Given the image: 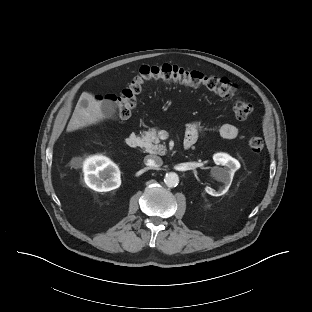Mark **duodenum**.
<instances>
[{
	"mask_svg": "<svg viewBox=\"0 0 312 312\" xmlns=\"http://www.w3.org/2000/svg\"><path fill=\"white\" fill-rule=\"evenodd\" d=\"M125 142L128 147L137 148L140 145L141 140L137 135L131 134L126 138ZM190 147H191L190 143H187V142L184 143L185 150L189 149Z\"/></svg>",
	"mask_w": 312,
	"mask_h": 312,
	"instance_id": "410a0bca",
	"label": "duodenum"
}]
</instances>
